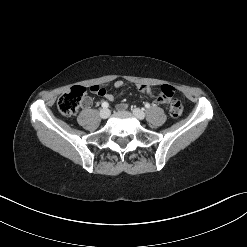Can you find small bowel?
Wrapping results in <instances>:
<instances>
[{"mask_svg":"<svg viewBox=\"0 0 247 247\" xmlns=\"http://www.w3.org/2000/svg\"><path fill=\"white\" fill-rule=\"evenodd\" d=\"M124 85V82L122 80H116L114 83H113V87L115 89H121ZM98 85H94L92 86L93 88L96 87ZM149 86V85H148ZM150 87V86H149ZM94 93L98 94L99 96H102L110 101H113L115 100V95L111 92H109L105 87H101L99 89H94L92 90ZM152 99V98H151ZM153 100L155 101V99L153 98ZM169 98L167 99V101L164 103L166 104L168 102ZM85 106H89L91 104V100L90 99H86L85 102H84ZM163 104V105H164ZM127 107V105L125 103H121L118 105V109L120 110H123Z\"/></svg>","mask_w":247,"mask_h":247,"instance_id":"c3829d8e","label":"small bowel"}]
</instances>
